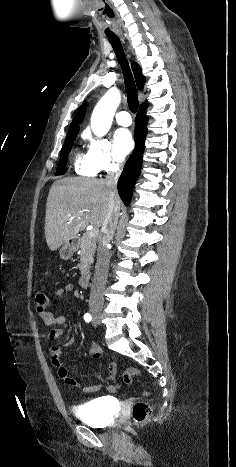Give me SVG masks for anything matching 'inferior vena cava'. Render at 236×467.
<instances>
[{
    "label": "inferior vena cava",
    "instance_id": "inferior-vena-cava-1",
    "mask_svg": "<svg viewBox=\"0 0 236 467\" xmlns=\"http://www.w3.org/2000/svg\"><path fill=\"white\" fill-rule=\"evenodd\" d=\"M121 173L120 165H115L108 173L105 179V184L110 190V202L107 215L102 224L101 233L98 240L97 249V262L95 267V273L92 280L91 291H90V307H102L103 291L105 289L110 254L108 245L113 239L116 225L119 218L120 208L115 205L114 197L117 195V181Z\"/></svg>",
    "mask_w": 236,
    "mask_h": 467
}]
</instances>
